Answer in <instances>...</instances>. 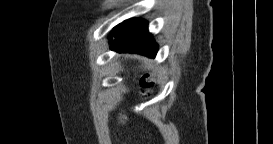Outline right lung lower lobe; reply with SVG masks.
<instances>
[{
	"label": "right lung lower lobe",
	"mask_w": 273,
	"mask_h": 144,
	"mask_svg": "<svg viewBox=\"0 0 273 144\" xmlns=\"http://www.w3.org/2000/svg\"><path fill=\"white\" fill-rule=\"evenodd\" d=\"M116 40L111 41V49L119 52L139 53L155 57L157 45L148 33L147 21L129 19L117 25L112 33Z\"/></svg>",
	"instance_id": "obj_1"
}]
</instances>
